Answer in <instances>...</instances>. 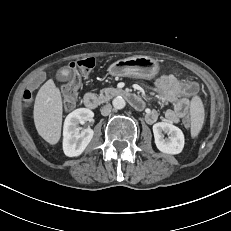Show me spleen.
I'll use <instances>...</instances> for the list:
<instances>
[{
  "label": "spleen",
  "mask_w": 231,
  "mask_h": 231,
  "mask_svg": "<svg viewBox=\"0 0 231 231\" xmlns=\"http://www.w3.org/2000/svg\"><path fill=\"white\" fill-rule=\"evenodd\" d=\"M191 135L196 137L204 123V107L199 97H194L191 102Z\"/></svg>",
  "instance_id": "3e777b00"
}]
</instances>
